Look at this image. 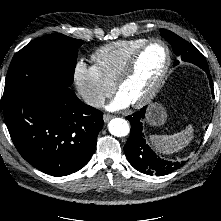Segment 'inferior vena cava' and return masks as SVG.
<instances>
[{"instance_id":"obj_1","label":"inferior vena cava","mask_w":221,"mask_h":221,"mask_svg":"<svg viewBox=\"0 0 221 221\" xmlns=\"http://www.w3.org/2000/svg\"><path fill=\"white\" fill-rule=\"evenodd\" d=\"M83 101L92 106H101L104 102V99L94 91H86L82 93Z\"/></svg>"}]
</instances>
